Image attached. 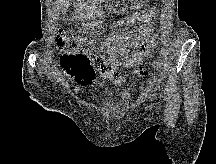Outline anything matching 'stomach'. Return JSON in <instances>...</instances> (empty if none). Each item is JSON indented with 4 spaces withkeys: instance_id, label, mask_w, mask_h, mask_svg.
Returning <instances> with one entry per match:
<instances>
[{
    "instance_id": "stomach-1",
    "label": "stomach",
    "mask_w": 216,
    "mask_h": 164,
    "mask_svg": "<svg viewBox=\"0 0 216 164\" xmlns=\"http://www.w3.org/2000/svg\"><path fill=\"white\" fill-rule=\"evenodd\" d=\"M134 7H140L145 4L148 0H130Z\"/></svg>"
}]
</instances>
